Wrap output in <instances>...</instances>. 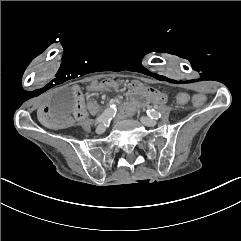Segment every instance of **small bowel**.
Returning a JSON list of instances; mask_svg holds the SVG:
<instances>
[{
	"label": "small bowel",
	"instance_id": "obj_1",
	"mask_svg": "<svg viewBox=\"0 0 241 241\" xmlns=\"http://www.w3.org/2000/svg\"><path fill=\"white\" fill-rule=\"evenodd\" d=\"M131 86L134 90H144L145 94L148 96L151 100H156L159 103H162L165 101L166 96L162 92H157L156 90L152 89L148 85H145L144 83H139L136 81H133L131 83ZM120 88L121 91L126 92L129 90L130 85L128 82L123 81L120 83V85L115 81H104V82H96L91 84L90 89L93 91H112L116 90L117 88ZM52 106V100L48 96H43L39 100V104L37 105V110L39 113L36 115V121L41 126H46L48 128L58 129L61 126L60 121L56 120V116L52 112H48L50 110V107ZM89 109L92 113L96 112L97 105L94 101H90L89 103ZM73 119L71 117H68L66 120H64L62 123L65 125L68 122H71Z\"/></svg>",
	"mask_w": 241,
	"mask_h": 241
}]
</instances>
